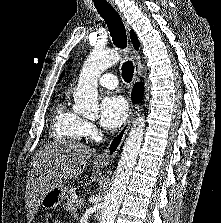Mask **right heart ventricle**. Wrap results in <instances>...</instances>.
Here are the masks:
<instances>
[{"mask_svg": "<svg viewBox=\"0 0 221 223\" xmlns=\"http://www.w3.org/2000/svg\"><path fill=\"white\" fill-rule=\"evenodd\" d=\"M84 122V119L62 102L51 115V135L57 141H80L85 135Z\"/></svg>", "mask_w": 221, "mask_h": 223, "instance_id": "right-heart-ventricle-1", "label": "right heart ventricle"}]
</instances>
